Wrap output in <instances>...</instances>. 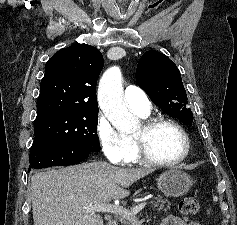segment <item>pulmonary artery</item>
<instances>
[{
    "label": "pulmonary artery",
    "instance_id": "pulmonary-artery-1",
    "mask_svg": "<svg viewBox=\"0 0 237 225\" xmlns=\"http://www.w3.org/2000/svg\"><path fill=\"white\" fill-rule=\"evenodd\" d=\"M127 106L140 115H148L151 103L147 94L138 86L128 85L124 91Z\"/></svg>",
    "mask_w": 237,
    "mask_h": 225
}]
</instances>
